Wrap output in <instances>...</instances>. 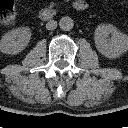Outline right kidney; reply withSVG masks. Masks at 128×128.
I'll return each instance as SVG.
<instances>
[{
  "instance_id": "right-kidney-1",
  "label": "right kidney",
  "mask_w": 128,
  "mask_h": 128,
  "mask_svg": "<svg viewBox=\"0 0 128 128\" xmlns=\"http://www.w3.org/2000/svg\"><path fill=\"white\" fill-rule=\"evenodd\" d=\"M31 39V30L20 27L7 32L0 41V51L5 54L15 55L24 50Z\"/></svg>"
}]
</instances>
